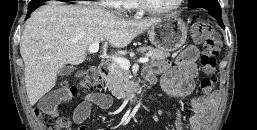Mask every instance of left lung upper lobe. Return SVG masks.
<instances>
[{"label":"left lung upper lobe","instance_id":"1","mask_svg":"<svg viewBox=\"0 0 257 130\" xmlns=\"http://www.w3.org/2000/svg\"><path fill=\"white\" fill-rule=\"evenodd\" d=\"M190 7H200L204 9L220 8L217 0H189Z\"/></svg>","mask_w":257,"mask_h":130}]
</instances>
